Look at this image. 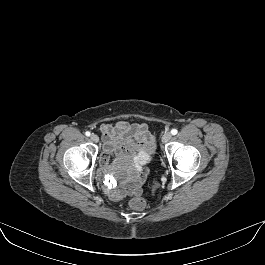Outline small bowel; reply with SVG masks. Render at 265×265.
<instances>
[{
  "label": "small bowel",
  "instance_id": "small-bowel-1",
  "mask_svg": "<svg viewBox=\"0 0 265 265\" xmlns=\"http://www.w3.org/2000/svg\"><path fill=\"white\" fill-rule=\"evenodd\" d=\"M100 132L104 141V150L100 158L103 171L107 170L111 156L132 157L136 166L140 168V173L128 179L122 188L107 184V194L115 201L140 195L147 175V169L143 166L148 162L154 148L153 137L147 126L143 123L119 121L102 125Z\"/></svg>",
  "mask_w": 265,
  "mask_h": 265
}]
</instances>
